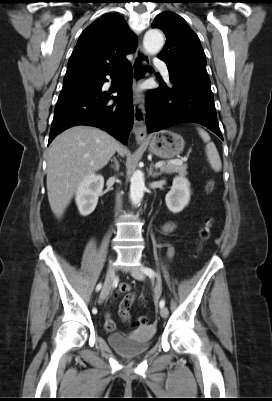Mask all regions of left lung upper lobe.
I'll use <instances>...</instances> for the list:
<instances>
[{"instance_id": "1", "label": "left lung upper lobe", "mask_w": 272, "mask_h": 401, "mask_svg": "<svg viewBox=\"0 0 272 401\" xmlns=\"http://www.w3.org/2000/svg\"><path fill=\"white\" fill-rule=\"evenodd\" d=\"M152 28L161 29L167 37L158 58L166 63L169 74L210 83L200 40L181 16L162 12L154 19Z\"/></svg>"}]
</instances>
